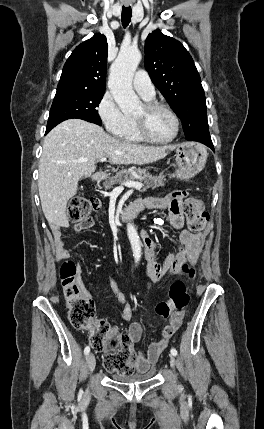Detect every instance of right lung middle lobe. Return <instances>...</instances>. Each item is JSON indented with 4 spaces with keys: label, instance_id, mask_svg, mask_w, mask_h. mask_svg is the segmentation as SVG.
Returning <instances> with one entry per match:
<instances>
[{
    "label": "right lung middle lobe",
    "instance_id": "right-lung-middle-lobe-1",
    "mask_svg": "<svg viewBox=\"0 0 264 429\" xmlns=\"http://www.w3.org/2000/svg\"><path fill=\"white\" fill-rule=\"evenodd\" d=\"M104 92L87 90H60L54 97L47 123L46 133L60 122L78 118L97 125H101V119L96 107H98Z\"/></svg>",
    "mask_w": 264,
    "mask_h": 429
}]
</instances>
